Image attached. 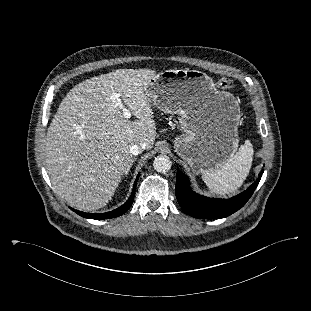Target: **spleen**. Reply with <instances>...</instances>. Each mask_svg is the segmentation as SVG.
Here are the masks:
<instances>
[{
  "instance_id": "obj_1",
  "label": "spleen",
  "mask_w": 311,
  "mask_h": 311,
  "mask_svg": "<svg viewBox=\"0 0 311 311\" xmlns=\"http://www.w3.org/2000/svg\"><path fill=\"white\" fill-rule=\"evenodd\" d=\"M253 154L252 144L250 140H246L224 165L202 173L206 186L212 193L222 196L236 192L250 172Z\"/></svg>"
}]
</instances>
